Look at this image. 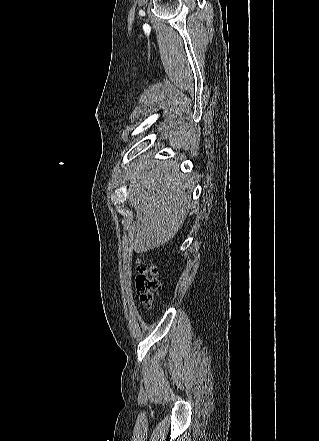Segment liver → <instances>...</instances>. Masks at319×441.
<instances>
[{
    "label": "liver",
    "mask_w": 319,
    "mask_h": 441,
    "mask_svg": "<svg viewBox=\"0 0 319 441\" xmlns=\"http://www.w3.org/2000/svg\"><path fill=\"white\" fill-rule=\"evenodd\" d=\"M139 157L132 170L128 192L136 220L128 229L131 248L138 253L165 245L177 234L188 214L192 190L190 178L173 161Z\"/></svg>",
    "instance_id": "obj_1"
}]
</instances>
